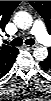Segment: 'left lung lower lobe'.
I'll use <instances>...</instances> for the list:
<instances>
[{"label":"left lung lower lobe","instance_id":"1","mask_svg":"<svg viewBox=\"0 0 51 101\" xmlns=\"http://www.w3.org/2000/svg\"><path fill=\"white\" fill-rule=\"evenodd\" d=\"M40 65L45 69V70H47L49 67H48V65H47V59L45 60V61H41L40 62Z\"/></svg>","mask_w":51,"mask_h":101}]
</instances>
